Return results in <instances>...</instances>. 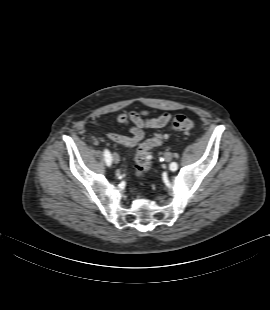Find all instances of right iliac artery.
Here are the masks:
<instances>
[{
  "label": "right iliac artery",
  "mask_w": 270,
  "mask_h": 310,
  "mask_svg": "<svg viewBox=\"0 0 270 310\" xmlns=\"http://www.w3.org/2000/svg\"><path fill=\"white\" fill-rule=\"evenodd\" d=\"M104 157H105L107 166H110L112 162V156L109 150L107 149L104 150Z\"/></svg>",
  "instance_id": "82829eb1"
}]
</instances>
